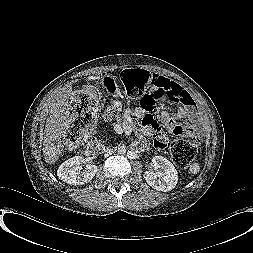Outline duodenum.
<instances>
[{
	"instance_id": "obj_1",
	"label": "duodenum",
	"mask_w": 253,
	"mask_h": 253,
	"mask_svg": "<svg viewBox=\"0 0 253 253\" xmlns=\"http://www.w3.org/2000/svg\"><path fill=\"white\" fill-rule=\"evenodd\" d=\"M102 150V147L94 142L89 143L86 147H85V153L88 156H97Z\"/></svg>"
}]
</instances>
